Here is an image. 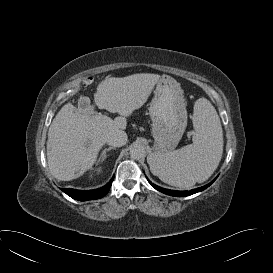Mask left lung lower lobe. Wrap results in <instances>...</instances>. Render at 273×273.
Instances as JSON below:
<instances>
[{
    "label": "left lung lower lobe",
    "instance_id": "obj_1",
    "mask_svg": "<svg viewBox=\"0 0 273 273\" xmlns=\"http://www.w3.org/2000/svg\"><path fill=\"white\" fill-rule=\"evenodd\" d=\"M216 180V178L210 182L209 184L203 186V187H199V188H196V189H193V190H190V191H175V190H169V189H164V188H161L155 184H153L152 182H150V184L155 188L157 189L158 191L162 192V193H165L167 195H170V196H176V197H186V196H189V195H192V194H195L197 192H200V191H203L205 190L207 187H209L214 181Z\"/></svg>",
    "mask_w": 273,
    "mask_h": 273
}]
</instances>
